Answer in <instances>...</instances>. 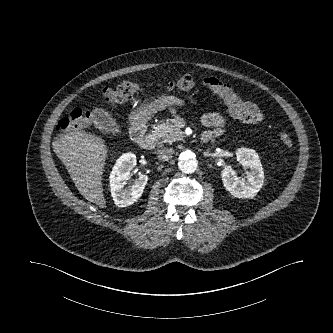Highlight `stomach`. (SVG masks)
I'll list each match as a JSON object with an SVG mask.
<instances>
[{
	"label": "stomach",
	"mask_w": 333,
	"mask_h": 333,
	"mask_svg": "<svg viewBox=\"0 0 333 333\" xmlns=\"http://www.w3.org/2000/svg\"><path fill=\"white\" fill-rule=\"evenodd\" d=\"M184 100L171 95H162L160 98L141 106L131 113L130 119L134 125L146 123L158 111L172 105H183Z\"/></svg>",
	"instance_id": "stomach-1"
}]
</instances>
